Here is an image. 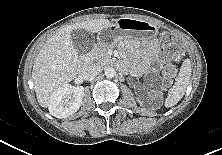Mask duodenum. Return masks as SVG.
<instances>
[{
  "mask_svg": "<svg viewBox=\"0 0 222 155\" xmlns=\"http://www.w3.org/2000/svg\"><path fill=\"white\" fill-rule=\"evenodd\" d=\"M89 57H86L84 59H82L81 63H80V68H83L85 66V64L87 63Z\"/></svg>",
  "mask_w": 222,
  "mask_h": 155,
  "instance_id": "410a0bca",
  "label": "duodenum"
}]
</instances>
